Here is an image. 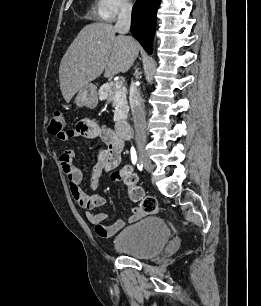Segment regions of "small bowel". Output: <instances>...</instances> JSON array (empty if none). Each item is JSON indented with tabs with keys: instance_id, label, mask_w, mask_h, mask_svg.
I'll return each instance as SVG.
<instances>
[{
	"instance_id": "c3829d8e",
	"label": "small bowel",
	"mask_w": 261,
	"mask_h": 306,
	"mask_svg": "<svg viewBox=\"0 0 261 306\" xmlns=\"http://www.w3.org/2000/svg\"><path fill=\"white\" fill-rule=\"evenodd\" d=\"M70 138H85L91 141L99 140L102 143L98 147L97 159L91 170L90 188L97 184L104 173L115 169L121 161L124 139L115 136L94 120H82L74 129L67 130L66 136L62 139L68 140ZM74 158L75 151L73 149H68L60 155V164L68 179L71 194L76 203L85 210L86 218L94 225L97 235L102 238L112 237L125 226V222L119 219L111 225L104 224L109 215L105 212H95V209L104 206L106 200L101 195L89 194L83 188V175L75 166ZM141 216V210L138 207H134L129 221L134 222Z\"/></svg>"
}]
</instances>
